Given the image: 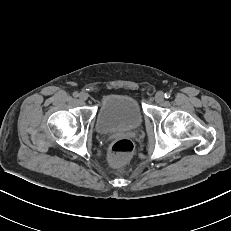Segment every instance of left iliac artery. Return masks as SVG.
Returning a JSON list of instances; mask_svg holds the SVG:
<instances>
[{"label":"left iliac artery","instance_id":"44dca946","mask_svg":"<svg viewBox=\"0 0 231 231\" xmlns=\"http://www.w3.org/2000/svg\"><path fill=\"white\" fill-rule=\"evenodd\" d=\"M171 97V94L170 93H165V98H170Z\"/></svg>","mask_w":231,"mask_h":231}]
</instances>
